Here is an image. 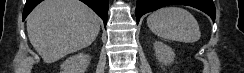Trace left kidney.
Returning a JSON list of instances; mask_svg holds the SVG:
<instances>
[{"mask_svg": "<svg viewBox=\"0 0 244 73\" xmlns=\"http://www.w3.org/2000/svg\"><path fill=\"white\" fill-rule=\"evenodd\" d=\"M155 56L158 62L162 65H170L175 58L174 50L168 45L155 41L154 42Z\"/></svg>", "mask_w": 244, "mask_h": 73, "instance_id": "obj_1", "label": "left kidney"}]
</instances>
